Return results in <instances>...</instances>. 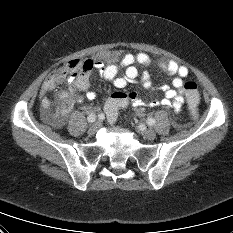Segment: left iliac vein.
I'll use <instances>...</instances> for the list:
<instances>
[{
	"instance_id": "1",
	"label": "left iliac vein",
	"mask_w": 233,
	"mask_h": 233,
	"mask_svg": "<svg viewBox=\"0 0 233 233\" xmlns=\"http://www.w3.org/2000/svg\"><path fill=\"white\" fill-rule=\"evenodd\" d=\"M138 129L142 132L144 138L148 140H154L156 137V133L151 129H146L144 126H139Z\"/></svg>"
}]
</instances>
